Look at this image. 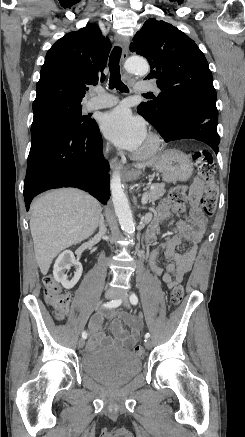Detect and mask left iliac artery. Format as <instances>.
Returning a JSON list of instances; mask_svg holds the SVG:
<instances>
[{
    "label": "left iliac artery",
    "instance_id": "1",
    "mask_svg": "<svg viewBox=\"0 0 245 437\" xmlns=\"http://www.w3.org/2000/svg\"><path fill=\"white\" fill-rule=\"evenodd\" d=\"M129 299H130L131 304H133V305H136L138 303V297L135 293H131ZM149 337H150V334L146 333L145 338L148 339Z\"/></svg>",
    "mask_w": 245,
    "mask_h": 437
}]
</instances>
